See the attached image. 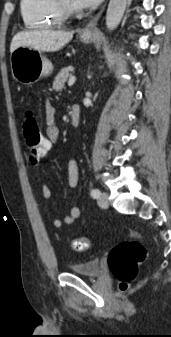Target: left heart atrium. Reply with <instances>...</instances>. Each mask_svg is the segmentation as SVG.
<instances>
[{"instance_id":"left-heart-atrium-1","label":"left heart atrium","mask_w":171,"mask_h":337,"mask_svg":"<svg viewBox=\"0 0 171 337\" xmlns=\"http://www.w3.org/2000/svg\"><path fill=\"white\" fill-rule=\"evenodd\" d=\"M101 0H72V4L79 8H87L97 5Z\"/></svg>"}]
</instances>
